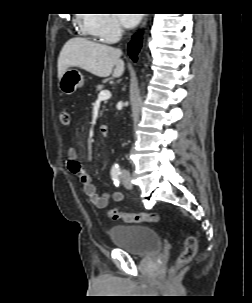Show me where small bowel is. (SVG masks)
Masks as SVG:
<instances>
[{
	"instance_id": "small-bowel-1",
	"label": "small bowel",
	"mask_w": 252,
	"mask_h": 303,
	"mask_svg": "<svg viewBox=\"0 0 252 303\" xmlns=\"http://www.w3.org/2000/svg\"><path fill=\"white\" fill-rule=\"evenodd\" d=\"M66 165L68 171L80 180L84 194L89 197L95 207L103 209L109 205L111 199L116 202H120L123 199L121 192H114L110 195L108 193L100 194L96 191V187L92 183L89 173L83 169L77 160V152L74 147L68 149Z\"/></svg>"
}]
</instances>
